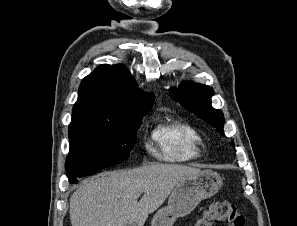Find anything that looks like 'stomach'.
Wrapping results in <instances>:
<instances>
[{"label": "stomach", "mask_w": 297, "mask_h": 226, "mask_svg": "<svg viewBox=\"0 0 297 226\" xmlns=\"http://www.w3.org/2000/svg\"><path fill=\"white\" fill-rule=\"evenodd\" d=\"M221 185L220 175L211 170L180 181L173 189L168 205L154 215L152 226H172L177 218L190 214L201 200L215 195Z\"/></svg>", "instance_id": "obj_1"}]
</instances>
